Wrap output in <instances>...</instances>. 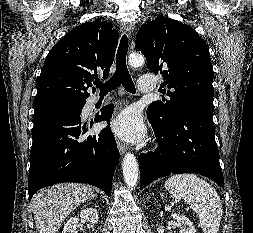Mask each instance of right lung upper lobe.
I'll return each instance as SVG.
<instances>
[{
	"instance_id": "1",
	"label": "right lung upper lobe",
	"mask_w": 253,
	"mask_h": 233,
	"mask_svg": "<svg viewBox=\"0 0 253 233\" xmlns=\"http://www.w3.org/2000/svg\"><path fill=\"white\" fill-rule=\"evenodd\" d=\"M112 24L97 19L67 33L48 53L34 104L51 99L85 101L94 75H109L118 44Z\"/></svg>"
}]
</instances>
